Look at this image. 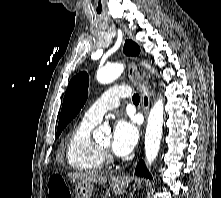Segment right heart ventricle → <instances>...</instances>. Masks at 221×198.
I'll return each mask as SVG.
<instances>
[{
    "instance_id": "e07e8e85",
    "label": "right heart ventricle",
    "mask_w": 221,
    "mask_h": 198,
    "mask_svg": "<svg viewBox=\"0 0 221 198\" xmlns=\"http://www.w3.org/2000/svg\"><path fill=\"white\" fill-rule=\"evenodd\" d=\"M96 124L82 120L66 141V160L70 167L80 171H98L104 166V157L92 139L91 133Z\"/></svg>"
}]
</instances>
